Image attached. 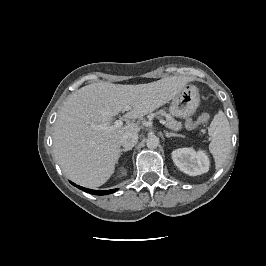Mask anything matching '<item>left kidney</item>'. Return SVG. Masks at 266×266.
I'll return each mask as SVG.
<instances>
[{"instance_id": "obj_1", "label": "left kidney", "mask_w": 266, "mask_h": 266, "mask_svg": "<svg viewBox=\"0 0 266 266\" xmlns=\"http://www.w3.org/2000/svg\"><path fill=\"white\" fill-rule=\"evenodd\" d=\"M172 159L180 171L197 176L208 172L210 161L202 150L195 151L193 148H179L172 152Z\"/></svg>"}]
</instances>
